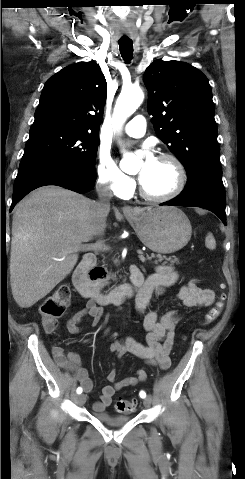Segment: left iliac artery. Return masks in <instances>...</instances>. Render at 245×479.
Listing matches in <instances>:
<instances>
[{"label":"left iliac artery","mask_w":245,"mask_h":479,"mask_svg":"<svg viewBox=\"0 0 245 479\" xmlns=\"http://www.w3.org/2000/svg\"><path fill=\"white\" fill-rule=\"evenodd\" d=\"M139 396H140L141 398H145V397H146V393H145L144 391H140Z\"/></svg>","instance_id":"obj_1"}]
</instances>
